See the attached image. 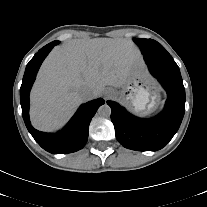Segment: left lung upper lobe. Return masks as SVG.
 I'll return each mask as SVG.
<instances>
[{
	"instance_id": "5c2ea615",
	"label": "left lung upper lobe",
	"mask_w": 207,
	"mask_h": 207,
	"mask_svg": "<svg viewBox=\"0 0 207 207\" xmlns=\"http://www.w3.org/2000/svg\"><path fill=\"white\" fill-rule=\"evenodd\" d=\"M134 41L140 47L143 55L169 54L165 48L155 40L138 38Z\"/></svg>"
}]
</instances>
